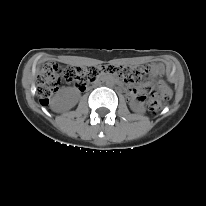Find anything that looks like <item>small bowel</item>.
Segmentation results:
<instances>
[{
  "mask_svg": "<svg viewBox=\"0 0 206 206\" xmlns=\"http://www.w3.org/2000/svg\"><path fill=\"white\" fill-rule=\"evenodd\" d=\"M152 71H153L154 74L159 75V74L163 73L164 67H163L162 64H157L153 67ZM136 92H137V90L130 89L129 90V95L133 97L136 94Z\"/></svg>",
  "mask_w": 206,
  "mask_h": 206,
  "instance_id": "c3829d8e",
  "label": "small bowel"
}]
</instances>
